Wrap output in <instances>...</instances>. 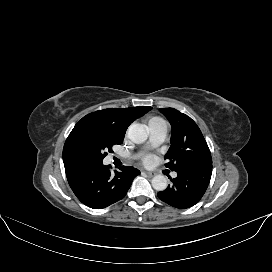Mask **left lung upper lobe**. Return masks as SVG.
Masks as SVG:
<instances>
[{
  "instance_id": "left-lung-upper-lobe-1",
  "label": "left lung upper lobe",
  "mask_w": 272,
  "mask_h": 272,
  "mask_svg": "<svg viewBox=\"0 0 272 272\" xmlns=\"http://www.w3.org/2000/svg\"><path fill=\"white\" fill-rule=\"evenodd\" d=\"M172 126L171 147L165 159L172 171L185 167L212 165L211 153L197 124L174 108H162Z\"/></svg>"
}]
</instances>
